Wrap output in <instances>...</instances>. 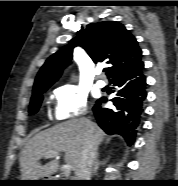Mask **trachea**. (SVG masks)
I'll list each match as a JSON object with an SVG mask.
<instances>
[{
    "label": "trachea",
    "instance_id": "trachea-1",
    "mask_svg": "<svg viewBox=\"0 0 178 186\" xmlns=\"http://www.w3.org/2000/svg\"><path fill=\"white\" fill-rule=\"evenodd\" d=\"M106 71H107L106 69L103 70V72H106Z\"/></svg>",
    "mask_w": 178,
    "mask_h": 186
}]
</instances>
